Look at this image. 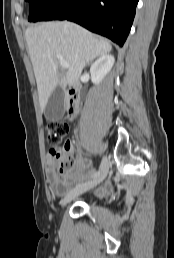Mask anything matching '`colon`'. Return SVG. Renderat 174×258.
Listing matches in <instances>:
<instances>
[{"label": "colon", "mask_w": 174, "mask_h": 258, "mask_svg": "<svg viewBox=\"0 0 174 258\" xmlns=\"http://www.w3.org/2000/svg\"><path fill=\"white\" fill-rule=\"evenodd\" d=\"M46 130L48 142L53 147L50 156L58 162L60 175L63 177L71 175L75 166L68 156L70 144L68 142L62 144L63 139L68 134L69 126L64 122L53 121L47 124Z\"/></svg>", "instance_id": "1"}]
</instances>
